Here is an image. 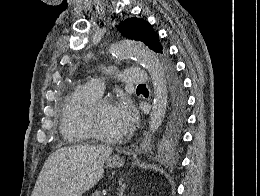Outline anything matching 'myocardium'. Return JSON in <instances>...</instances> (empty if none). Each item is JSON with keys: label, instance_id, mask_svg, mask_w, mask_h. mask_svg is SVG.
Here are the masks:
<instances>
[{"label": "myocardium", "instance_id": "f54148a6", "mask_svg": "<svg viewBox=\"0 0 260 196\" xmlns=\"http://www.w3.org/2000/svg\"><path fill=\"white\" fill-rule=\"evenodd\" d=\"M114 104L113 100L110 98H99L96 100L89 108L87 117L84 120V127L96 138L106 141L115 142L122 140V136L113 135L106 132L100 131L95 123L96 113L103 107ZM79 191V190H77Z\"/></svg>", "mask_w": 260, "mask_h": 196}]
</instances>
